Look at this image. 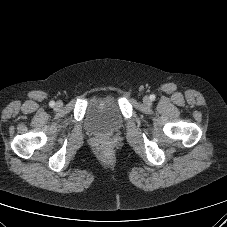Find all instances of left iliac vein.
<instances>
[{
	"label": "left iliac vein",
	"instance_id": "obj_1",
	"mask_svg": "<svg viewBox=\"0 0 227 227\" xmlns=\"http://www.w3.org/2000/svg\"><path fill=\"white\" fill-rule=\"evenodd\" d=\"M143 102H144V104L147 105V106H150V105H151V100H150V98H149L148 96H145V97L143 98Z\"/></svg>",
	"mask_w": 227,
	"mask_h": 227
}]
</instances>
